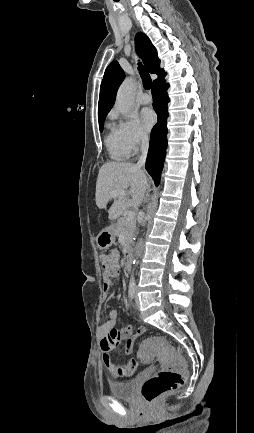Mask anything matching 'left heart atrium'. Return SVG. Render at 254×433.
<instances>
[{"label": "left heart atrium", "instance_id": "obj_1", "mask_svg": "<svg viewBox=\"0 0 254 433\" xmlns=\"http://www.w3.org/2000/svg\"><path fill=\"white\" fill-rule=\"evenodd\" d=\"M141 118H142L143 125L147 130H149L156 121L155 114L149 109H144L141 112Z\"/></svg>", "mask_w": 254, "mask_h": 433}]
</instances>
